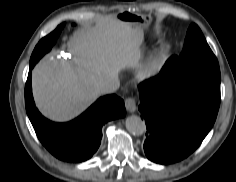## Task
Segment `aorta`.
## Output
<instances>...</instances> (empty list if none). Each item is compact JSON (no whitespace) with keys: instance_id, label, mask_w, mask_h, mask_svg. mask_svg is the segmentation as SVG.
<instances>
[{"instance_id":"obj_1","label":"aorta","mask_w":236,"mask_h":182,"mask_svg":"<svg viewBox=\"0 0 236 182\" xmlns=\"http://www.w3.org/2000/svg\"><path fill=\"white\" fill-rule=\"evenodd\" d=\"M125 126L128 132L134 136H140L146 132L145 122L140 117L135 115L127 117Z\"/></svg>"}]
</instances>
